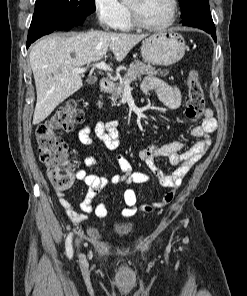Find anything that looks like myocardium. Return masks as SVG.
<instances>
[{"instance_id": "myocardium-1", "label": "myocardium", "mask_w": 247, "mask_h": 296, "mask_svg": "<svg viewBox=\"0 0 247 296\" xmlns=\"http://www.w3.org/2000/svg\"><path fill=\"white\" fill-rule=\"evenodd\" d=\"M169 4H170V14H169L168 19L165 22H163L161 24H157V25L148 24V23L143 22L140 19V17L138 16L135 8L132 7L130 4H128L131 22L136 27H138L140 29H144V30H149V31L165 30V29L169 28L171 25H173V23L175 22V20L177 18V13H178L177 0H169Z\"/></svg>"}]
</instances>
